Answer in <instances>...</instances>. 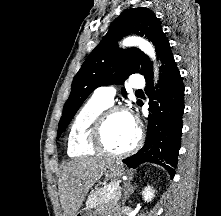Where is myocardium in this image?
Returning a JSON list of instances; mask_svg holds the SVG:
<instances>
[{
  "label": "myocardium",
  "instance_id": "f54148a6",
  "mask_svg": "<svg viewBox=\"0 0 221 216\" xmlns=\"http://www.w3.org/2000/svg\"><path fill=\"white\" fill-rule=\"evenodd\" d=\"M117 113H124L130 116L128 110L121 106H113L105 109L94 123L91 129L90 139L95 150L109 156L122 157L131 154L141 145L143 141V131L141 126L133 121L136 129V138L134 142L126 149L120 151L109 149L104 142V130L110 117Z\"/></svg>",
  "mask_w": 221,
  "mask_h": 216
}]
</instances>
